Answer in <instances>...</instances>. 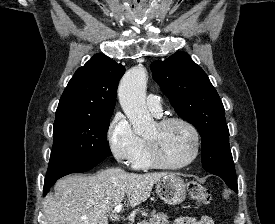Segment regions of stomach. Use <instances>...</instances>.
Returning <instances> with one entry per match:
<instances>
[{"label":"stomach","instance_id":"stomach-1","mask_svg":"<svg viewBox=\"0 0 275 224\" xmlns=\"http://www.w3.org/2000/svg\"><path fill=\"white\" fill-rule=\"evenodd\" d=\"M187 184L175 175L168 174L156 184V193L168 205H178L186 198Z\"/></svg>","mask_w":275,"mask_h":224}]
</instances>
